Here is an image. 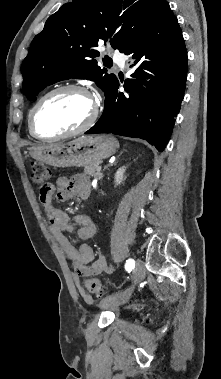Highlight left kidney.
<instances>
[{
  "instance_id": "left-kidney-1",
  "label": "left kidney",
  "mask_w": 221,
  "mask_h": 379,
  "mask_svg": "<svg viewBox=\"0 0 221 379\" xmlns=\"http://www.w3.org/2000/svg\"><path fill=\"white\" fill-rule=\"evenodd\" d=\"M126 167L123 166L122 168H119L118 171L115 174V182L116 185H120L122 181L124 180V173H125Z\"/></svg>"
}]
</instances>
